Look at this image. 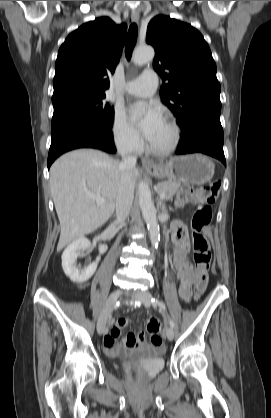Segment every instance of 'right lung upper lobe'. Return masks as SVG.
<instances>
[{
	"instance_id": "1",
	"label": "right lung upper lobe",
	"mask_w": 271,
	"mask_h": 418,
	"mask_svg": "<svg viewBox=\"0 0 271 418\" xmlns=\"http://www.w3.org/2000/svg\"><path fill=\"white\" fill-rule=\"evenodd\" d=\"M127 30L100 17L73 31L61 45L55 63L52 101L76 94L105 93L108 76L119 62Z\"/></svg>"
}]
</instances>
